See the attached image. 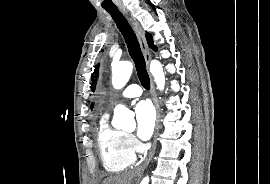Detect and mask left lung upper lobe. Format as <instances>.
<instances>
[{
  "label": "left lung upper lobe",
  "instance_id": "obj_1",
  "mask_svg": "<svg viewBox=\"0 0 270 184\" xmlns=\"http://www.w3.org/2000/svg\"><path fill=\"white\" fill-rule=\"evenodd\" d=\"M146 39H147V42H148V45L151 49L153 50H157L156 46L153 44V41H152V36L149 34V33H146ZM98 67L99 65H97L94 69V73L98 74ZM92 79H93V74H92ZM95 81L92 82V85H91V88H92V91H94L95 89Z\"/></svg>",
  "mask_w": 270,
  "mask_h": 184
}]
</instances>
